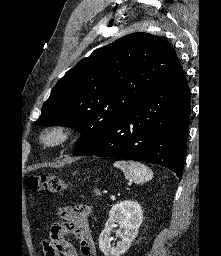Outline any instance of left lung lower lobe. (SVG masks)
Masks as SVG:
<instances>
[{
	"label": "left lung lower lobe",
	"mask_w": 221,
	"mask_h": 256,
	"mask_svg": "<svg viewBox=\"0 0 221 256\" xmlns=\"http://www.w3.org/2000/svg\"><path fill=\"white\" fill-rule=\"evenodd\" d=\"M190 124V91L181 69L150 92L114 124L103 127L95 141L74 156L96 155L164 166L182 178Z\"/></svg>",
	"instance_id": "obj_1"
}]
</instances>
